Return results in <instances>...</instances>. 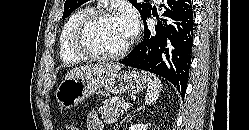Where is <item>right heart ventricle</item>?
Instances as JSON below:
<instances>
[{
    "instance_id": "1",
    "label": "right heart ventricle",
    "mask_w": 249,
    "mask_h": 130,
    "mask_svg": "<svg viewBox=\"0 0 249 130\" xmlns=\"http://www.w3.org/2000/svg\"><path fill=\"white\" fill-rule=\"evenodd\" d=\"M93 7L85 6L76 10L65 22L59 37V54L65 64H75L84 59L73 47V39L79 22L91 11Z\"/></svg>"
}]
</instances>
